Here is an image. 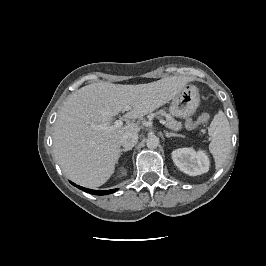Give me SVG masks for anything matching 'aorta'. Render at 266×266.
<instances>
[{
  "label": "aorta",
  "instance_id": "762f6f07",
  "mask_svg": "<svg viewBox=\"0 0 266 266\" xmlns=\"http://www.w3.org/2000/svg\"><path fill=\"white\" fill-rule=\"evenodd\" d=\"M159 143H160L159 138L155 135L149 136L146 140V145L150 149L157 148Z\"/></svg>",
  "mask_w": 266,
  "mask_h": 266
}]
</instances>
